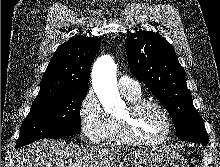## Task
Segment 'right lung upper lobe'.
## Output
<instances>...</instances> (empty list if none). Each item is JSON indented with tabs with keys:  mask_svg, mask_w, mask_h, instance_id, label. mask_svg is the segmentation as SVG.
<instances>
[{
	"mask_svg": "<svg viewBox=\"0 0 220 167\" xmlns=\"http://www.w3.org/2000/svg\"><path fill=\"white\" fill-rule=\"evenodd\" d=\"M99 48L98 37L82 35L59 46L42 76L35 100L66 89H88L90 67Z\"/></svg>",
	"mask_w": 220,
	"mask_h": 167,
	"instance_id": "right-lung-upper-lobe-1",
	"label": "right lung upper lobe"
}]
</instances>
